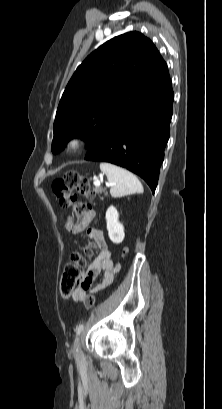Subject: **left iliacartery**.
Listing matches in <instances>:
<instances>
[{
	"instance_id": "1",
	"label": "left iliac artery",
	"mask_w": 222,
	"mask_h": 409,
	"mask_svg": "<svg viewBox=\"0 0 222 409\" xmlns=\"http://www.w3.org/2000/svg\"><path fill=\"white\" fill-rule=\"evenodd\" d=\"M83 329H84V325L80 324L76 329V334L80 335V333L83 331Z\"/></svg>"
}]
</instances>
